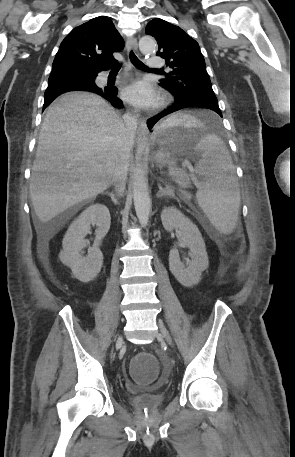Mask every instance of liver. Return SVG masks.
<instances>
[{"label": "liver", "mask_w": 295, "mask_h": 457, "mask_svg": "<svg viewBox=\"0 0 295 457\" xmlns=\"http://www.w3.org/2000/svg\"><path fill=\"white\" fill-rule=\"evenodd\" d=\"M132 140L123 120L103 98L62 95L47 109L32 166L29 193L42 223L92 200L113 182L116 161Z\"/></svg>", "instance_id": "obj_1"}]
</instances>
